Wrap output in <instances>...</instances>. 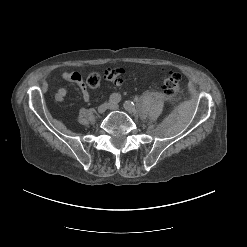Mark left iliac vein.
Here are the masks:
<instances>
[{"label": "left iliac vein", "instance_id": "obj_1", "mask_svg": "<svg viewBox=\"0 0 247 247\" xmlns=\"http://www.w3.org/2000/svg\"><path fill=\"white\" fill-rule=\"evenodd\" d=\"M109 109L110 110H118L119 109V105L116 103H110L109 104ZM128 111V110H127Z\"/></svg>", "mask_w": 247, "mask_h": 247}]
</instances>
